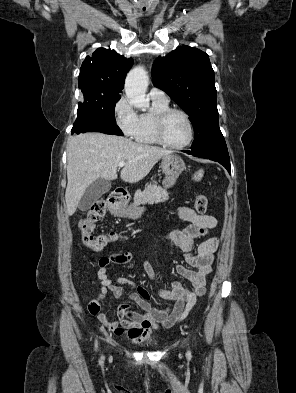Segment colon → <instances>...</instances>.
<instances>
[{"label":"colon","mask_w":296,"mask_h":393,"mask_svg":"<svg viewBox=\"0 0 296 393\" xmlns=\"http://www.w3.org/2000/svg\"><path fill=\"white\" fill-rule=\"evenodd\" d=\"M203 173L198 171L193 175L194 182L200 181ZM207 198L202 194L195 195L193 199L194 210L203 214L207 209ZM106 211V202L101 199L98 200L87 213L86 217L80 222L79 229L82 240L86 246L95 251H100L110 243L118 239L117 234H101L95 235V223L104 216Z\"/></svg>","instance_id":"obj_1"}]
</instances>
